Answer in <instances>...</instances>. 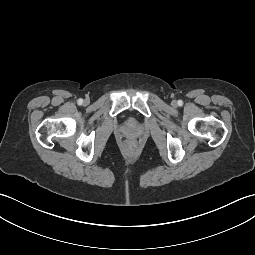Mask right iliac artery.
<instances>
[{"mask_svg": "<svg viewBox=\"0 0 255 255\" xmlns=\"http://www.w3.org/2000/svg\"><path fill=\"white\" fill-rule=\"evenodd\" d=\"M82 103H83V99H79L78 104H82Z\"/></svg>", "mask_w": 255, "mask_h": 255, "instance_id": "1", "label": "right iliac artery"}]
</instances>
